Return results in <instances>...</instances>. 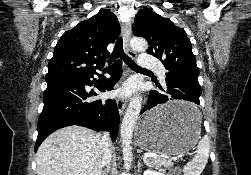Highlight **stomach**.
Segmentation results:
<instances>
[{"label":"stomach","mask_w":251,"mask_h":175,"mask_svg":"<svg viewBox=\"0 0 251 175\" xmlns=\"http://www.w3.org/2000/svg\"><path fill=\"white\" fill-rule=\"evenodd\" d=\"M192 100H167L142 115L136 141L150 154L179 155L196 145L201 133V115L194 114Z\"/></svg>","instance_id":"stomach-1"}]
</instances>
